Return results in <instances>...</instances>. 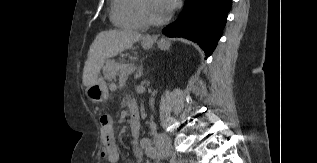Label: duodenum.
I'll use <instances>...</instances> for the list:
<instances>
[{
	"label": "duodenum",
	"instance_id": "duodenum-1",
	"mask_svg": "<svg viewBox=\"0 0 317 163\" xmlns=\"http://www.w3.org/2000/svg\"><path fill=\"white\" fill-rule=\"evenodd\" d=\"M131 133L134 138L139 137L140 132V115L138 112H131L130 114Z\"/></svg>",
	"mask_w": 317,
	"mask_h": 163
}]
</instances>
